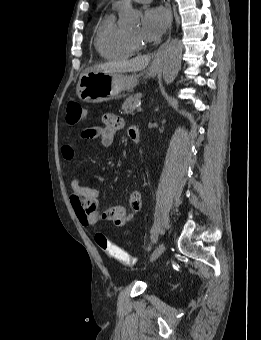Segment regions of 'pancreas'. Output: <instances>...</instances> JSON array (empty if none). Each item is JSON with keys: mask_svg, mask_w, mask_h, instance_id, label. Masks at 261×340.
Listing matches in <instances>:
<instances>
[{"mask_svg": "<svg viewBox=\"0 0 261 340\" xmlns=\"http://www.w3.org/2000/svg\"><path fill=\"white\" fill-rule=\"evenodd\" d=\"M142 94L141 93H137L135 95H131L129 96L123 103L122 105V110L126 113V114H134V111L136 109V105L138 104V102L140 101Z\"/></svg>", "mask_w": 261, "mask_h": 340, "instance_id": "pancreas-1", "label": "pancreas"}]
</instances>
